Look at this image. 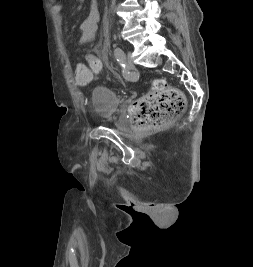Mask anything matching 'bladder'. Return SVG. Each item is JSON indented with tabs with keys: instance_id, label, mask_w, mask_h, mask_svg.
I'll return each instance as SVG.
<instances>
[{
	"instance_id": "obj_1",
	"label": "bladder",
	"mask_w": 253,
	"mask_h": 267,
	"mask_svg": "<svg viewBox=\"0 0 253 267\" xmlns=\"http://www.w3.org/2000/svg\"><path fill=\"white\" fill-rule=\"evenodd\" d=\"M119 105L116 93L106 87H95L90 96V107L94 116L99 121H109L115 115Z\"/></svg>"
}]
</instances>
